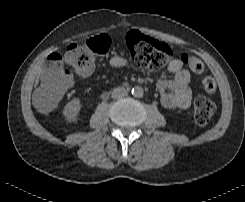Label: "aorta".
Returning a JSON list of instances; mask_svg holds the SVG:
<instances>
[{"instance_id": "1", "label": "aorta", "mask_w": 245, "mask_h": 202, "mask_svg": "<svg viewBox=\"0 0 245 202\" xmlns=\"http://www.w3.org/2000/svg\"><path fill=\"white\" fill-rule=\"evenodd\" d=\"M132 95L137 98H141L144 94V90L141 86H135L131 91Z\"/></svg>"}]
</instances>
